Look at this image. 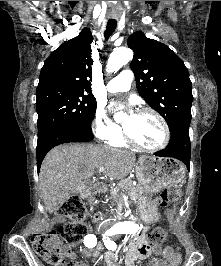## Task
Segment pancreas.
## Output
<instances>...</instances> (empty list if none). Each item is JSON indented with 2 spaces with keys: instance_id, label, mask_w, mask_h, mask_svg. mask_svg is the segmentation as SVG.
Masks as SVG:
<instances>
[{
  "instance_id": "cf45deb5",
  "label": "pancreas",
  "mask_w": 221,
  "mask_h": 266,
  "mask_svg": "<svg viewBox=\"0 0 221 266\" xmlns=\"http://www.w3.org/2000/svg\"><path fill=\"white\" fill-rule=\"evenodd\" d=\"M124 189L128 191V195L133 198L142 197L145 194H148L146 188L140 184L133 185L129 178L121 180L118 185L110 190V195L113 200V203L122 202L123 194L121 190Z\"/></svg>"
}]
</instances>
